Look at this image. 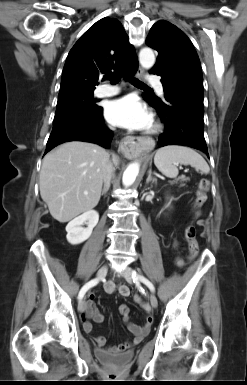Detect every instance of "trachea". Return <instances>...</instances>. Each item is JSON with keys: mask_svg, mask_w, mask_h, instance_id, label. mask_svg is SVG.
Here are the masks:
<instances>
[{"mask_svg": "<svg viewBox=\"0 0 247 385\" xmlns=\"http://www.w3.org/2000/svg\"><path fill=\"white\" fill-rule=\"evenodd\" d=\"M107 80H110V82L112 84H117L120 82L121 80V76L119 74H111V75H108L105 77ZM130 82L136 86V87H147L143 82H141L140 80L136 79V78H133L131 77L130 78Z\"/></svg>", "mask_w": 247, "mask_h": 385, "instance_id": "3493384b", "label": "trachea"}]
</instances>
